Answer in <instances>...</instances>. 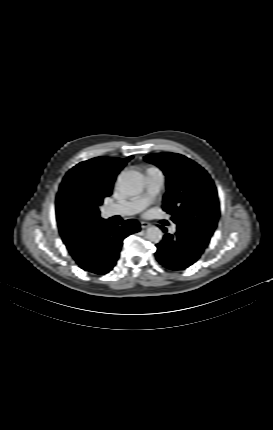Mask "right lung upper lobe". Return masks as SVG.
Listing matches in <instances>:
<instances>
[{
  "label": "right lung upper lobe",
  "instance_id": "cb5924a9",
  "mask_svg": "<svg viewBox=\"0 0 273 430\" xmlns=\"http://www.w3.org/2000/svg\"><path fill=\"white\" fill-rule=\"evenodd\" d=\"M132 158V156L125 159L96 157L77 164L68 171L62 181L56 199V210L60 206L61 201L72 193H79L92 200L103 202L105 197L112 194L117 174ZM91 224L80 230L67 231L60 228L58 220L63 242L70 253L80 249L84 245L83 239L89 234L88 228Z\"/></svg>",
  "mask_w": 273,
  "mask_h": 430
}]
</instances>
